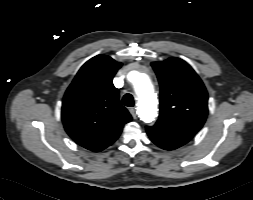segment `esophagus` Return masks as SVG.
<instances>
[{"instance_id":"esophagus-1","label":"esophagus","mask_w":253,"mask_h":200,"mask_svg":"<svg viewBox=\"0 0 253 200\" xmlns=\"http://www.w3.org/2000/svg\"><path fill=\"white\" fill-rule=\"evenodd\" d=\"M129 111H130L132 117L134 119H137V111H136V109L135 108H131Z\"/></svg>"}]
</instances>
